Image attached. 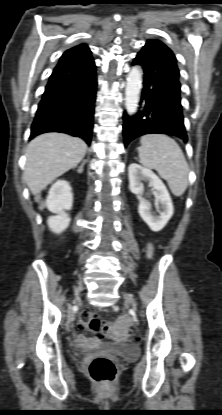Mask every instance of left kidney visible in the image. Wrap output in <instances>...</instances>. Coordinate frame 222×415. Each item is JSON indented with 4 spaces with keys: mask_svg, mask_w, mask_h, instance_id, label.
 Wrapping results in <instances>:
<instances>
[{
    "mask_svg": "<svg viewBox=\"0 0 222 415\" xmlns=\"http://www.w3.org/2000/svg\"><path fill=\"white\" fill-rule=\"evenodd\" d=\"M129 187L132 193L136 194L139 200L138 212L141 218L147 223L150 229L158 232L164 228L173 215L174 208L170 194L162 180L150 169L132 163L128 167ZM149 181L156 191L155 206L158 215L151 212V204L143 198L142 181Z\"/></svg>",
    "mask_w": 222,
    "mask_h": 415,
    "instance_id": "left-kidney-1",
    "label": "left kidney"
}]
</instances>
